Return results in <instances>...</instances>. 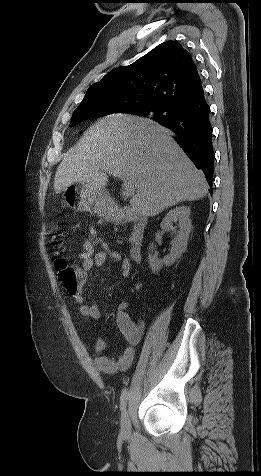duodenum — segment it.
<instances>
[{
  "instance_id": "1",
  "label": "duodenum",
  "mask_w": 261,
  "mask_h": 476,
  "mask_svg": "<svg viewBox=\"0 0 261 476\" xmlns=\"http://www.w3.org/2000/svg\"><path fill=\"white\" fill-rule=\"evenodd\" d=\"M112 220L120 224H133V235L130 243V257L136 263H140L143 257L144 238L148 224L147 219L142 215L120 208L113 213Z\"/></svg>"
}]
</instances>
